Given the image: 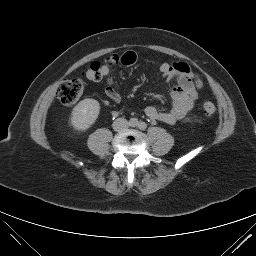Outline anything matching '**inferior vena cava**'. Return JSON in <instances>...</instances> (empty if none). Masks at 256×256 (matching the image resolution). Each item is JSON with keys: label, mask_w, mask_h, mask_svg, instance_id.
<instances>
[{"label": "inferior vena cava", "mask_w": 256, "mask_h": 256, "mask_svg": "<svg viewBox=\"0 0 256 256\" xmlns=\"http://www.w3.org/2000/svg\"><path fill=\"white\" fill-rule=\"evenodd\" d=\"M112 127L117 132H123L128 129V121L125 118H117Z\"/></svg>", "instance_id": "602c4592"}]
</instances>
